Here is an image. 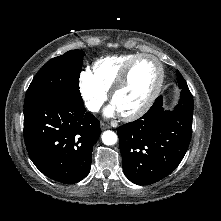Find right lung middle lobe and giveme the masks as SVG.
I'll return each instance as SVG.
<instances>
[{"instance_id":"right-lung-middle-lobe-1","label":"right lung middle lobe","mask_w":221,"mask_h":221,"mask_svg":"<svg viewBox=\"0 0 221 221\" xmlns=\"http://www.w3.org/2000/svg\"><path fill=\"white\" fill-rule=\"evenodd\" d=\"M84 55L81 50H71L49 60L32 80L24 107L50 97H62L83 104L78 80Z\"/></svg>"}]
</instances>
